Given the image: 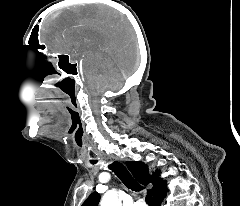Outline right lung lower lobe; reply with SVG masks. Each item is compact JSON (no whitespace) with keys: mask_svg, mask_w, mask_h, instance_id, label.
Returning <instances> with one entry per match:
<instances>
[{"mask_svg":"<svg viewBox=\"0 0 240 206\" xmlns=\"http://www.w3.org/2000/svg\"><path fill=\"white\" fill-rule=\"evenodd\" d=\"M165 196H166V194H164V195H162V196H160L158 198H155L154 199L155 206H160V204H161L162 200L165 198Z\"/></svg>","mask_w":240,"mask_h":206,"instance_id":"right-lung-lower-lobe-1","label":"right lung lower lobe"}]
</instances>
